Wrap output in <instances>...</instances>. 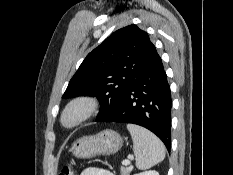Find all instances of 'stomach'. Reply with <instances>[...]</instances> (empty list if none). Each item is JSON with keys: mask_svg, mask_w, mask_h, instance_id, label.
Listing matches in <instances>:
<instances>
[{"mask_svg": "<svg viewBox=\"0 0 233 175\" xmlns=\"http://www.w3.org/2000/svg\"><path fill=\"white\" fill-rule=\"evenodd\" d=\"M123 145V138L113 130H104L93 136H84L74 142L71 152L77 158L115 154Z\"/></svg>", "mask_w": 233, "mask_h": 175, "instance_id": "0dacf381", "label": "stomach"}]
</instances>
